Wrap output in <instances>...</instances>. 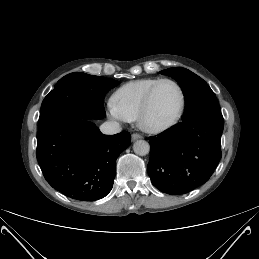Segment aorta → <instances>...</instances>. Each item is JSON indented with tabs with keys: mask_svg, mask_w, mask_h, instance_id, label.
<instances>
[{
	"mask_svg": "<svg viewBox=\"0 0 259 259\" xmlns=\"http://www.w3.org/2000/svg\"><path fill=\"white\" fill-rule=\"evenodd\" d=\"M133 150L137 155L145 156L150 151V145L145 140H137L133 145Z\"/></svg>",
	"mask_w": 259,
	"mask_h": 259,
	"instance_id": "aorta-1",
	"label": "aorta"
}]
</instances>
